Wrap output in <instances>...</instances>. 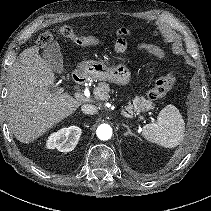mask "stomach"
<instances>
[{
    "mask_svg": "<svg viewBox=\"0 0 211 211\" xmlns=\"http://www.w3.org/2000/svg\"><path fill=\"white\" fill-rule=\"evenodd\" d=\"M78 68L81 72L94 79L106 80L121 86H126L130 83V70L122 64L107 67L104 62L88 60L81 62Z\"/></svg>",
    "mask_w": 211,
    "mask_h": 211,
    "instance_id": "0dacf381",
    "label": "stomach"
}]
</instances>
